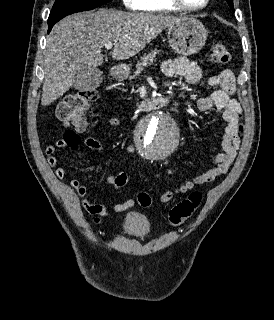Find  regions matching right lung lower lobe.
I'll return each mask as SVG.
<instances>
[{
  "mask_svg": "<svg viewBox=\"0 0 274 320\" xmlns=\"http://www.w3.org/2000/svg\"><path fill=\"white\" fill-rule=\"evenodd\" d=\"M54 24L55 23H48V33L51 31Z\"/></svg>",
  "mask_w": 274,
  "mask_h": 320,
  "instance_id": "98d812e1",
  "label": "right lung lower lobe"
}]
</instances>
